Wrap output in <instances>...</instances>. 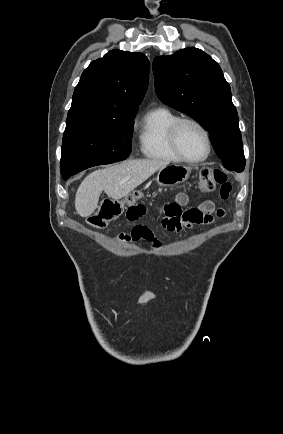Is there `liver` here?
<instances>
[{
  "mask_svg": "<svg viewBox=\"0 0 283 434\" xmlns=\"http://www.w3.org/2000/svg\"><path fill=\"white\" fill-rule=\"evenodd\" d=\"M168 164L167 161L160 160H129L90 173L81 182L76 192L75 209L77 213L81 217L90 216L98 207L102 191L108 197L119 200Z\"/></svg>",
  "mask_w": 283,
  "mask_h": 434,
  "instance_id": "obj_1",
  "label": "liver"
}]
</instances>
